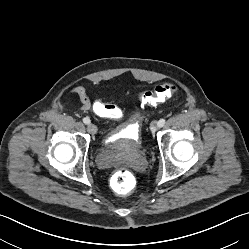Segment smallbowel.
Here are the masks:
<instances>
[{
	"mask_svg": "<svg viewBox=\"0 0 249 249\" xmlns=\"http://www.w3.org/2000/svg\"><path fill=\"white\" fill-rule=\"evenodd\" d=\"M70 92L79 98V110L82 112L92 110L94 114L99 117L112 119H119L122 116L121 110L114 105L104 103L100 100L91 101L87 95L86 89L82 86H75Z\"/></svg>",
	"mask_w": 249,
	"mask_h": 249,
	"instance_id": "obj_1",
	"label": "small bowel"
}]
</instances>
